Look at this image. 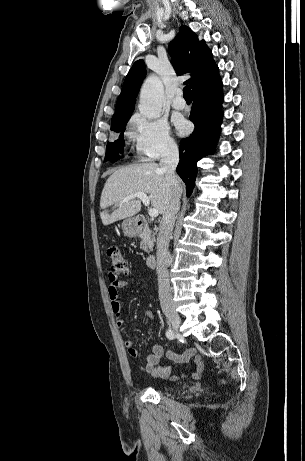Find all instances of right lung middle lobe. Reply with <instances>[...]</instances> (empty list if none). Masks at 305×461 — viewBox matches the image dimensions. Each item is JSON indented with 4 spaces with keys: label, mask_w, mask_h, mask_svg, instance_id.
<instances>
[{
    "label": "right lung middle lobe",
    "mask_w": 305,
    "mask_h": 461,
    "mask_svg": "<svg viewBox=\"0 0 305 461\" xmlns=\"http://www.w3.org/2000/svg\"><path fill=\"white\" fill-rule=\"evenodd\" d=\"M128 119L122 120L117 122L115 125L111 126V130L115 132H121L124 131L126 123ZM123 145H124V139H123V133L120 134L119 139H117L114 142H108L107 147H106V157L105 160H112L116 161L118 159V153L123 152Z\"/></svg>",
    "instance_id": "dd1d6c3e"
}]
</instances>
